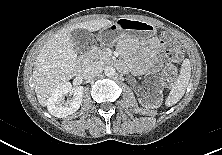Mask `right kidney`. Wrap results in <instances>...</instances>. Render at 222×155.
<instances>
[{
  "label": "right kidney",
  "instance_id": "right-kidney-1",
  "mask_svg": "<svg viewBox=\"0 0 222 155\" xmlns=\"http://www.w3.org/2000/svg\"><path fill=\"white\" fill-rule=\"evenodd\" d=\"M84 88L82 86L72 87L70 82L58 85L52 92L47 102L50 114L55 117L63 118L75 113L81 105ZM73 94L71 100H64V96Z\"/></svg>",
  "mask_w": 222,
  "mask_h": 155
}]
</instances>
